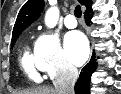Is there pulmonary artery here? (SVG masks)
I'll list each match as a JSON object with an SVG mask.
<instances>
[{
    "instance_id": "e3ab8cb5",
    "label": "pulmonary artery",
    "mask_w": 121,
    "mask_h": 94,
    "mask_svg": "<svg viewBox=\"0 0 121 94\" xmlns=\"http://www.w3.org/2000/svg\"><path fill=\"white\" fill-rule=\"evenodd\" d=\"M64 24L67 28L72 29L77 26V20L73 14H68L64 19Z\"/></svg>"
}]
</instances>
